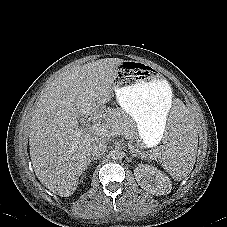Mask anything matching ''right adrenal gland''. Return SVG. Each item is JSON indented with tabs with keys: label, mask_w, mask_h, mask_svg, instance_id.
I'll list each match as a JSON object with an SVG mask.
<instances>
[{
	"label": "right adrenal gland",
	"mask_w": 227,
	"mask_h": 227,
	"mask_svg": "<svg viewBox=\"0 0 227 227\" xmlns=\"http://www.w3.org/2000/svg\"><path fill=\"white\" fill-rule=\"evenodd\" d=\"M94 160H97V157H92V158L89 160L88 165H90L91 162L94 161Z\"/></svg>",
	"instance_id": "2a0ac1e0"
}]
</instances>
